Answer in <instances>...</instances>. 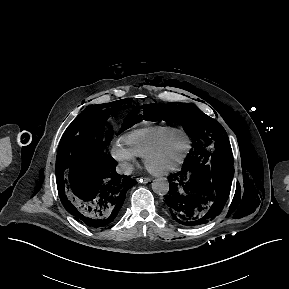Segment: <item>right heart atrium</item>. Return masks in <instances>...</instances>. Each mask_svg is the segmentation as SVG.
<instances>
[{
    "instance_id": "obj_1",
    "label": "right heart atrium",
    "mask_w": 289,
    "mask_h": 289,
    "mask_svg": "<svg viewBox=\"0 0 289 289\" xmlns=\"http://www.w3.org/2000/svg\"><path fill=\"white\" fill-rule=\"evenodd\" d=\"M111 156L124 172L130 171L136 161L135 155L128 148L122 146L120 142L113 144Z\"/></svg>"
}]
</instances>
